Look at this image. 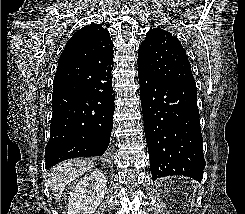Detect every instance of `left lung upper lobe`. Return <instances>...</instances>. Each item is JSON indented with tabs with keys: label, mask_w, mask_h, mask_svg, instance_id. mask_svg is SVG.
<instances>
[{
	"label": "left lung upper lobe",
	"mask_w": 245,
	"mask_h": 214,
	"mask_svg": "<svg viewBox=\"0 0 245 214\" xmlns=\"http://www.w3.org/2000/svg\"><path fill=\"white\" fill-rule=\"evenodd\" d=\"M138 70L155 79L195 85L186 51L177 37L160 28L148 31L139 46Z\"/></svg>",
	"instance_id": "1"
}]
</instances>
